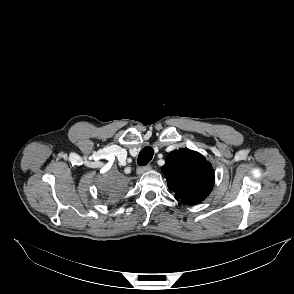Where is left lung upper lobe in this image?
I'll return each instance as SVG.
<instances>
[{"instance_id":"5c2ea615","label":"left lung upper lobe","mask_w":294,"mask_h":294,"mask_svg":"<svg viewBox=\"0 0 294 294\" xmlns=\"http://www.w3.org/2000/svg\"><path fill=\"white\" fill-rule=\"evenodd\" d=\"M162 172L175 198L187 205L203 201L214 184L212 165L203 155L189 149L171 152Z\"/></svg>"}]
</instances>
